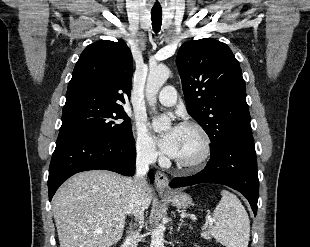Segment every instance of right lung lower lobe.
<instances>
[{
	"label": "right lung lower lobe",
	"mask_w": 310,
	"mask_h": 247,
	"mask_svg": "<svg viewBox=\"0 0 310 247\" xmlns=\"http://www.w3.org/2000/svg\"><path fill=\"white\" fill-rule=\"evenodd\" d=\"M95 169L110 170L126 176L133 175L135 171L133 135L113 140L90 131L60 132L49 167V200L70 176ZM149 176L153 181L152 171Z\"/></svg>",
	"instance_id": "right-lung-lower-lobe-1"
}]
</instances>
